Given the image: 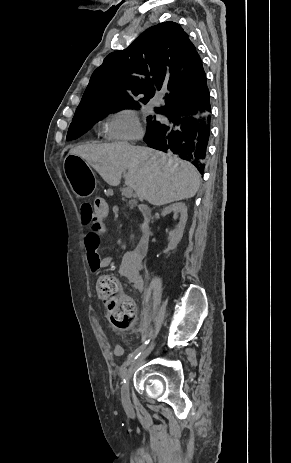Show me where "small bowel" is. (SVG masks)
Listing matches in <instances>:
<instances>
[{"label": "small bowel", "mask_w": 291, "mask_h": 463, "mask_svg": "<svg viewBox=\"0 0 291 463\" xmlns=\"http://www.w3.org/2000/svg\"><path fill=\"white\" fill-rule=\"evenodd\" d=\"M108 216V215H107ZM107 217H96L91 223V227L85 233L83 238V251L88 270L92 274L99 273L102 269L108 268L113 264L111 256H102L98 249L100 245V236L106 231L105 219ZM143 257L139 256L134 250L127 251L122 258L119 273L126 278L137 291L143 292L144 282L140 274ZM115 356L122 355L120 347H114Z\"/></svg>", "instance_id": "1"}]
</instances>
